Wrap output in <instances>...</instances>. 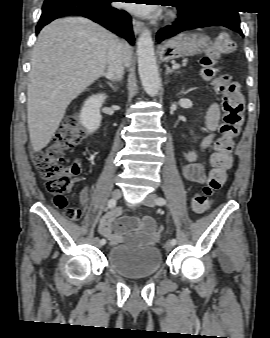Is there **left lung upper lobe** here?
Segmentation results:
<instances>
[{
	"instance_id": "5c2ea615",
	"label": "left lung upper lobe",
	"mask_w": 270,
	"mask_h": 338,
	"mask_svg": "<svg viewBox=\"0 0 270 338\" xmlns=\"http://www.w3.org/2000/svg\"><path fill=\"white\" fill-rule=\"evenodd\" d=\"M229 0H178L177 6L187 11H196L209 4H221Z\"/></svg>"
}]
</instances>
